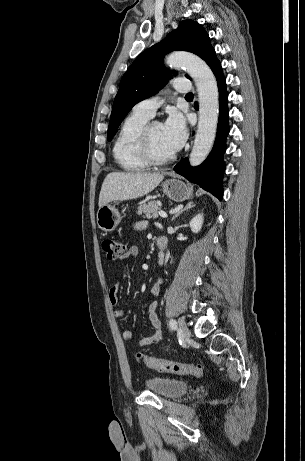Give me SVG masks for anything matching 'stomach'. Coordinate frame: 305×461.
<instances>
[{"label": "stomach", "instance_id": "obj_1", "mask_svg": "<svg viewBox=\"0 0 305 461\" xmlns=\"http://www.w3.org/2000/svg\"><path fill=\"white\" fill-rule=\"evenodd\" d=\"M163 193L175 202H183L192 197V189L183 181L172 178L162 183ZM118 210L110 205H104L97 212L98 227L106 232H111L121 222Z\"/></svg>", "mask_w": 305, "mask_h": 461}]
</instances>
